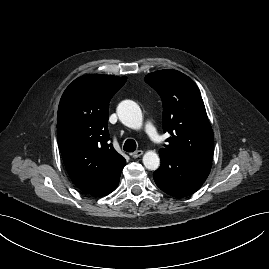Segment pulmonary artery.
<instances>
[{"mask_svg": "<svg viewBox=\"0 0 269 269\" xmlns=\"http://www.w3.org/2000/svg\"><path fill=\"white\" fill-rule=\"evenodd\" d=\"M144 131L146 136L149 138L150 141L153 143L160 145L162 143V138L157 129L154 127V125L147 121L144 125Z\"/></svg>", "mask_w": 269, "mask_h": 269, "instance_id": "1", "label": "pulmonary artery"}]
</instances>
